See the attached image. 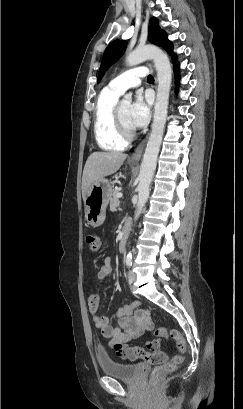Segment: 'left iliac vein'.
<instances>
[{
    "label": "left iliac vein",
    "instance_id": "obj_1",
    "mask_svg": "<svg viewBox=\"0 0 243 409\" xmlns=\"http://www.w3.org/2000/svg\"><path fill=\"white\" fill-rule=\"evenodd\" d=\"M136 280V274L133 271H129L128 273V281L129 283H133Z\"/></svg>",
    "mask_w": 243,
    "mask_h": 409
}]
</instances>
